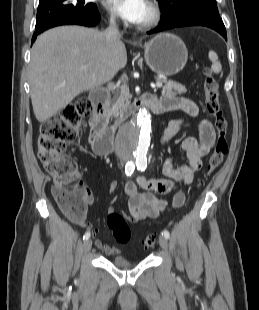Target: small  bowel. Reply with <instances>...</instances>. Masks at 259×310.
<instances>
[{
  "label": "small bowel",
  "instance_id": "c3829d8e",
  "mask_svg": "<svg viewBox=\"0 0 259 310\" xmlns=\"http://www.w3.org/2000/svg\"><path fill=\"white\" fill-rule=\"evenodd\" d=\"M165 111L182 110L186 114L195 117L199 109L196 103L183 97H166L159 101ZM183 121L176 120L170 123L164 130L162 143H168L171 138L182 127ZM216 133L209 121H202L199 124V140L189 137L183 140L182 149L185 151L188 164L175 166L171 157H167L163 163V178L147 179L139 176L135 181H128L124 190L128 197L129 213L125 214L127 220L139 222L143 220H154L163 215L169 208L178 209L185 203V195L178 192L174 195L170 205L165 200L157 198V194L164 195L170 193L177 182L191 185L194 182L195 174L201 169L203 159L208 155L215 142ZM116 188L115 182L108 184V191L112 192ZM142 189L143 192H140ZM89 201L93 202V196L88 189ZM114 211L112 207L109 212ZM80 226L86 225L84 217L76 222ZM93 235H97L99 230L94 229ZM95 245L107 255H116L119 249L104 243L101 239L95 240Z\"/></svg>",
  "mask_w": 259,
  "mask_h": 310
}]
</instances>
